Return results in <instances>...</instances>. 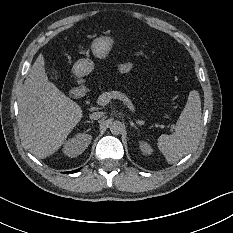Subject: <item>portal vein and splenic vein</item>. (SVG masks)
I'll return each mask as SVG.
<instances>
[{
  "mask_svg": "<svg viewBox=\"0 0 233 233\" xmlns=\"http://www.w3.org/2000/svg\"><path fill=\"white\" fill-rule=\"evenodd\" d=\"M117 98L122 100L123 103H126L127 108H130L132 112L134 111L132 101H128V97H125V94L119 93L118 91L105 92L101 94L97 99V104L101 106H105L112 99H117Z\"/></svg>",
  "mask_w": 233,
  "mask_h": 233,
  "instance_id": "portal-vein-and-splenic-vein-1",
  "label": "portal vein and splenic vein"
}]
</instances>
